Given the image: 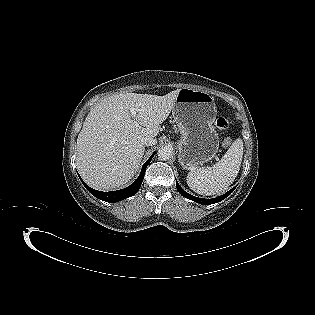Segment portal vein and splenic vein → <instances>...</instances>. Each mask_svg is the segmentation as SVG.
I'll use <instances>...</instances> for the list:
<instances>
[{
  "label": "portal vein and splenic vein",
  "mask_w": 315,
  "mask_h": 315,
  "mask_svg": "<svg viewBox=\"0 0 315 315\" xmlns=\"http://www.w3.org/2000/svg\"><path fill=\"white\" fill-rule=\"evenodd\" d=\"M130 113H131L132 117H136V115H137V112L134 108L130 109ZM135 125L138 126L139 124L135 121Z\"/></svg>",
  "instance_id": "portal-vein-and-splenic-vein-1"
}]
</instances>
